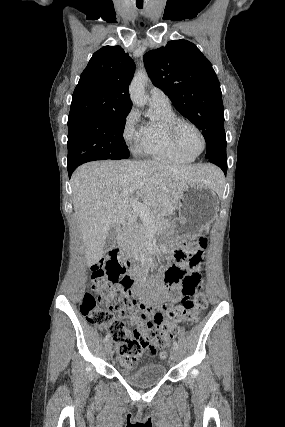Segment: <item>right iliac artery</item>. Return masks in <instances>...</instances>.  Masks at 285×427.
Instances as JSON below:
<instances>
[{
	"mask_svg": "<svg viewBox=\"0 0 285 427\" xmlns=\"http://www.w3.org/2000/svg\"><path fill=\"white\" fill-rule=\"evenodd\" d=\"M109 340V336L107 335L105 338H104V342H107Z\"/></svg>",
	"mask_w": 285,
	"mask_h": 427,
	"instance_id": "obj_1",
	"label": "right iliac artery"
}]
</instances>
